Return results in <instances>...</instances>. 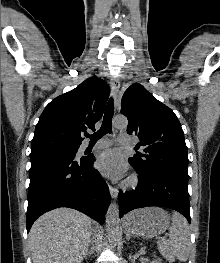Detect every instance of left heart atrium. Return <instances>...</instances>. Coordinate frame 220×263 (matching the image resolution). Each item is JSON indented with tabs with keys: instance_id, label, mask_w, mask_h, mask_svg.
Segmentation results:
<instances>
[{
	"instance_id": "39dd6f15",
	"label": "left heart atrium",
	"mask_w": 220,
	"mask_h": 263,
	"mask_svg": "<svg viewBox=\"0 0 220 263\" xmlns=\"http://www.w3.org/2000/svg\"><path fill=\"white\" fill-rule=\"evenodd\" d=\"M96 168L104 176L118 178L125 173L126 164L118 151L110 149L98 155Z\"/></svg>"
}]
</instances>
